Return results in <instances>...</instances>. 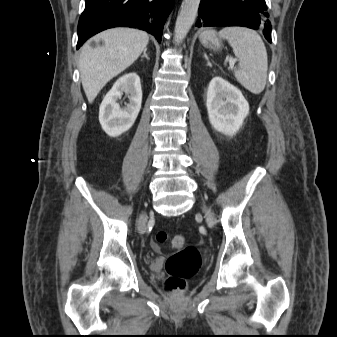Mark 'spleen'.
Returning <instances> with one entry per match:
<instances>
[{
  "mask_svg": "<svg viewBox=\"0 0 337 337\" xmlns=\"http://www.w3.org/2000/svg\"><path fill=\"white\" fill-rule=\"evenodd\" d=\"M219 36L227 39L239 60L234 71L237 81L253 94H260L266 85L268 60L260 35L246 27H225Z\"/></svg>",
  "mask_w": 337,
  "mask_h": 337,
  "instance_id": "3e777b00",
  "label": "spleen"
}]
</instances>
